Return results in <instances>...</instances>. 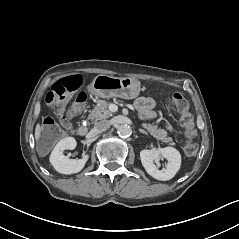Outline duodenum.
Segmentation results:
<instances>
[{
  "mask_svg": "<svg viewBox=\"0 0 239 239\" xmlns=\"http://www.w3.org/2000/svg\"><path fill=\"white\" fill-rule=\"evenodd\" d=\"M87 133H88V128H87V126L81 125V126L78 128V134H79L80 136H85Z\"/></svg>",
  "mask_w": 239,
  "mask_h": 239,
  "instance_id": "obj_1",
  "label": "duodenum"
}]
</instances>
